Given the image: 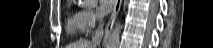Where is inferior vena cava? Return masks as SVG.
I'll return each mask as SVG.
<instances>
[{
	"label": "inferior vena cava",
	"instance_id": "1",
	"mask_svg": "<svg viewBox=\"0 0 213 48\" xmlns=\"http://www.w3.org/2000/svg\"><path fill=\"white\" fill-rule=\"evenodd\" d=\"M102 17H100V21L102 22ZM104 30H103V24L100 23L98 28L95 31V34L92 36V44L96 45L99 43L103 37Z\"/></svg>",
	"mask_w": 213,
	"mask_h": 48
}]
</instances>
